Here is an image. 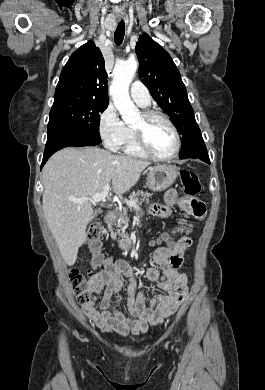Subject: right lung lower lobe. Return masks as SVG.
Instances as JSON below:
<instances>
[{
	"label": "right lung lower lobe",
	"mask_w": 265,
	"mask_h": 390,
	"mask_svg": "<svg viewBox=\"0 0 265 390\" xmlns=\"http://www.w3.org/2000/svg\"><path fill=\"white\" fill-rule=\"evenodd\" d=\"M100 142L70 131H54L48 134L41 169L48 158L62 148L69 146H96Z\"/></svg>",
	"instance_id": "right-lung-lower-lobe-1"
}]
</instances>
